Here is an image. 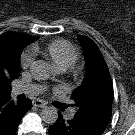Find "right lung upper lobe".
Here are the masks:
<instances>
[{
	"label": "right lung upper lobe",
	"instance_id": "obj_1",
	"mask_svg": "<svg viewBox=\"0 0 135 135\" xmlns=\"http://www.w3.org/2000/svg\"><path fill=\"white\" fill-rule=\"evenodd\" d=\"M38 38L17 32H5L0 35V98L10 95L11 87L8 84L19 76L23 48Z\"/></svg>",
	"mask_w": 135,
	"mask_h": 135
}]
</instances>
